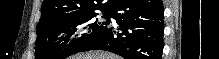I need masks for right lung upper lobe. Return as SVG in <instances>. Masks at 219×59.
I'll use <instances>...</instances> for the list:
<instances>
[{"mask_svg": "<svg viewBox=\"0 0 219 59\" xmlns=\"http://www.w3.org/2000/svg\"><path fill=\"white\" fill-rule=\"evenodd\" d=\"M115 0H44L42 16L37 27L48 22L76 15L93 13L95 10L110 11Z\"/></svg>", "mask_w": 219, "mask_h": 59, "instance_id": "right-lung-upper-lobe-1", "label": "right lung upper lobe"}]
</instances>
